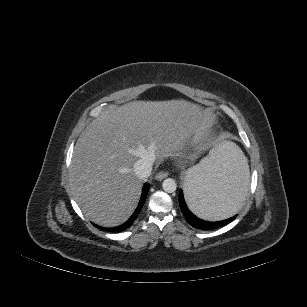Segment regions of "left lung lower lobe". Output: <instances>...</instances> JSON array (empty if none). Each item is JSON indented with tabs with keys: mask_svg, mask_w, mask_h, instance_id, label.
<instances>
[{
	"mask_svg": "<svg viewBox=\"0 0 307 307\" xmlns=\"http://www.w3.org/2000/svg\"><path fill=\"white\" fill-rule=\"evenodd\" d=\"M248 182L249 176L245 173V171L242 168L235 167L226 173L222 194L224 195L226 200L233 202V204H237L246 194ZM179 204L181 211L186 217L188 223L196 229H201L205 231L217 229L227 225L237 217V215H234L233 217H230L228 219L216 222L202 220L195 216L188 209L184 201L183 191L181 189L179 190Z\"/></svg>",
	"mask_w": 307,
	"mask_h": 307,
	"instance_id": "left-lung-lower-lobe-1",
	"label": "left lung lower lobe"
}]
</instances>
